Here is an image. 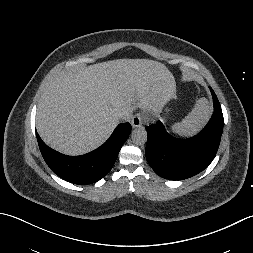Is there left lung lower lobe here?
I'll list each match as a JSON object with an SVG mask.
<instances>
[{
	"label": "left lung lower lobe",
	"mask_w": 253,
	"mask_h": 253,
	"mask_svg": "<svg viewBox=\"0 0 253 253\" xmlns=\"http://www.w3.org/2000/svg\"><path fill=\"white\" fill-rule=\"evenodd\" d=\"M210 90L214 114L198 135L178 139L159 122L146 127V159L159 176L169 180L190 178L206 169L215 157L223 132V114L217 96Z\"/></svg>",
	"instance_id": "obj_1"
}]
</instances>
